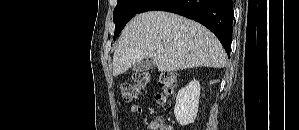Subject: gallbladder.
<instances>
[{"label": "gallbladder", "mask_w": 299, "mask_h": 130, "mask_svg": "<svg viewBox=\"0 0 299 130\" xmlns=\"http://www.w3.org/2000/svg\"><path fill=\"white\" fill-rule=\"evenodd\" d=\"M155 68V64L150 59H144L142 61L137 62L133 67L132 70L134 72H145Z\"/></svg>", "instance_id": "obj_1"}]
</instances>
